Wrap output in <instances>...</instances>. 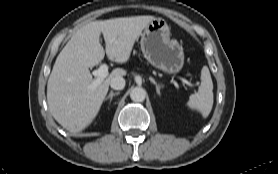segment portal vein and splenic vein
Listing matches in <instances>:
<instances>
[{"instance_id": "18ae733b", "label": "portal vein and splenic vein", "mask_w": 278, "mask_h": 174, "mask_svg": "<svg viewBox=\"0 0 278 174\" xmlns=\"http://www.w3.org/2000/svg\"><path fill=\"white\" fill-rule=\"evenodd\" d=\"M92 74L96 79L90 84L89 88L93 90L108 76V66L103 64L97 70H94ZM181 81L188 86H192L186 79L181 78Z\"/></svg>"}]
</instances>
